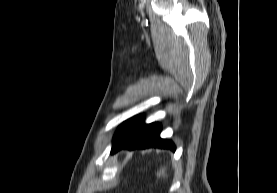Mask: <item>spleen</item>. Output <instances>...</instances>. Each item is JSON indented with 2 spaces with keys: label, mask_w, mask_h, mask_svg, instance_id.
<instances>
[{
  "label": "spleen",
  "mask_w": 277,
  "mask_h": 193,
  "mask_svg": "<svg viewBox=\"0 0 277 193\" xmlns=\"http://www.w3.org/2000/svg\"><path fill=\"white\" fill-rule=\"evenodd\" d=\"M163 175H165V169H161L159 172H157V176H163Z\"/></svg>",
  "instance_id": "3e777b00"
}]
</instances>
